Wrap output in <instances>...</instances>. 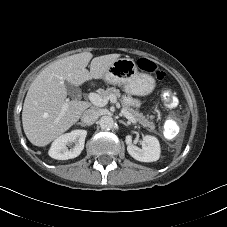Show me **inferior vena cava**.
<instances>
[{"instance_id":"602c4592","label":"inferior vena cava","mask_w":227,"mask_h":227,"mask_svg":"<svg viewBox=\"0 0 227 227\" xmlns=\"http://www.w3.org/2000/svg\"><path fill=\"white\" fill-rule=\"evenodd\" d=\"M99 114L98 111L95 109H88L86 110L82 117H81V121L83 124L85 125H92L98 118Z\"/></svg>"}]
</instances>
